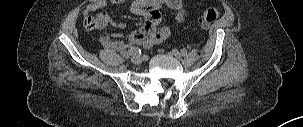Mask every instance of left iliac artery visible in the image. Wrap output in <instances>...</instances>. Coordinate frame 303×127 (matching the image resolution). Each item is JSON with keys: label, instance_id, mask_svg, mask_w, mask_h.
Wrapping results in <instances>:
<instances>
[{"label": "left iliac artery", "instance_id": "obj_1", "mask_svg": "<svg viewBox=\"0 0 303 127\" xmlns=\"http://www.w3.org/2000/svg\"><path fill=\"white\" fill-rule=\"evenodd\" d=\"M181 54H182V56H185V55L187 54L186 49H182V50H181Z\"/></svg>", "mask_w": 303, "mask_h": 127}]
</instances>
